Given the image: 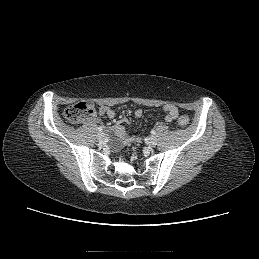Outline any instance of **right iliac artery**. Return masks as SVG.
I'll list each match as a JSON object with an SVG mask.
<instances>
[{"instance_id":"82829eb1","label":"right iliac artery","mask_w":259,"mask_h":259,"mask_svg":"<svg viewBox=\"0 0 259 259\" xmlns=\"http://www.w3.org/2000/svg\"><path fill=\"white\" fill-rule=\"evenodd\" d=\"M98 130L101 132L103 130V127L99 126Z\"/></svg>"}]
</instances>
